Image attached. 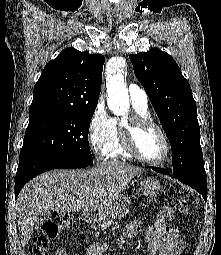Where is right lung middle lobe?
<instances>
[{
    "mask_svg": "<svg viewBox=\"0 0 221 255\" xmlns=\"http://www.w3.org/2000/svg\"><path fill=\"white\" fill-rule=\"evenodd\" d=\"M93 110H43L29 113L20 159L46 157L93 164L88 132Z\"/></svg>",
    "mask_w": 221,
    "mask_h": 255,
    "instance_id": "dd1d6c3e",
    "label": "right lung middle lobe"
}]
</instances>
